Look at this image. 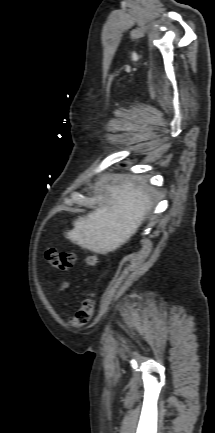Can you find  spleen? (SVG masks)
<instances>
[{"instance_id":"3e777b00","label":"spleen","mask_w":215,"mask_h":433,"mask_svg":"<svg viewBox=\"0 0 215 433\" xmlns=\"http://www.w3.org/2000/svg\"><path fill=\"white\" fill-rule=\"evenodd\" d=\"M111 207L102 206L87 217L74 221L67 238L83 248L106 253L118 248L137 231L150 204V198L140 188L127 182L108 187Z\"/></svg>"}]
</instances>
